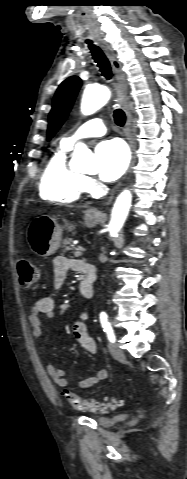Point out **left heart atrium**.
I'll use <instances>...</instances> for the list:
<instances>
[{
    "mask_svg": "<svg viewBox=\"0 0 187 479\" xmlns=\"http://www.w3.org/2000/svg\"><path fill=\"white\" fill-rule=\"evenodd\" d=\"M95 152L100 162L101 180L111 182L123 174L128 164V152L120 140H104L96 146Z\"/></svg>",
    "mask_w": 187,
    "mask_h": 479,
    "instance_id": "1",
    "label": "left heart atrium"
}]
</instances>
